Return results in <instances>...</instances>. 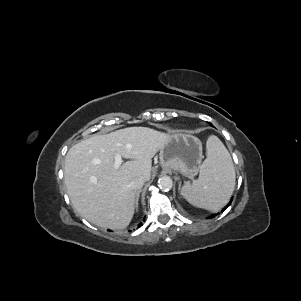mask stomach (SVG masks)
Listing matches in <instances>:
<instances>
[{
    "instance_id": "0dacf381",
    "label": "stomach",
    "mask_w": 301,
    "mask_h": 301,
    "mask_svg": "<svg viewBox=\"0 0 301 301\" xmlns=\"http://www.w3.org/2000/svg\"><path fill=\"white\" fill-rule=\"evenodd\" d=\"M159 158L163 168L172 169L192 178L201 168L202 143L189 133L173 134L160 148Z\"/></svg>"
}]
</instances>
